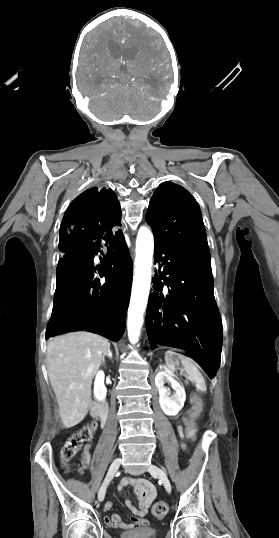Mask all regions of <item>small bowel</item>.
I'll return each mask as SVG.
<instances>
[{
    "label": "small bowel",
    "instance_id": "small-bowel-1",
    "mask_svg": "<svg viewBox=\"0 0 279 538\" xmlns=\"http://www.w3.org/2000/svg\"><path fill=\"white\" fill-rule=\"evenodd\" d=\"M180 436L183 437V430L179 428ZM90 461L89 447H86L82 456L81 464L82 468H85ZM127 486H133L136 492V495L139 500V507L136 508L133 506L130 500H126L125 504L127 508L132 513L131 523L126 524L120 515L114 514L112 516L105 517V523L111 528H121V529H130V530H141L148 525V521L145 519L148 508L153 503L156 497V489L154 485L146 479H134L131 477H124L121 479L117 486V490L121 491ZM113 507L112 501H107L104 505L105 510H110Z\"/></svg>",
    "mask_w": 279,
    "mask_h": 538
}]
</instances>
